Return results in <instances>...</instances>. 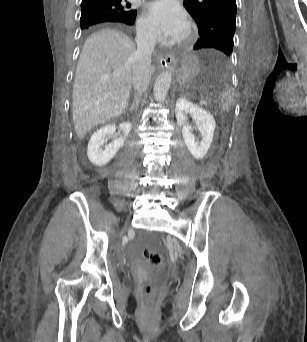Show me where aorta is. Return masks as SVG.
<instances>
[{"instance_id":"762f6f07","label":"aorta","mask_w":307,"mask_h":342,"mask_svg":"<svg viewBox=\"0 0 307 342\" xmlns=\"http://www.w3.org/2000/svg\"><path fill=\"white\" fill-rule=\"evenodd\" d=\"M172 82V74L170 72H163L155 80L153 88V96L157 102H164L169 92V88Z\"/></svg>"}]
</instances>
